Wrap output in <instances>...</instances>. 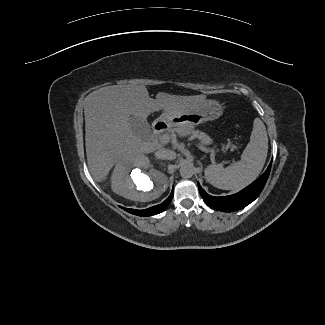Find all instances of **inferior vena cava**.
<instances>
[{
	"label": "inferior vena cava",
	"instance_id": "inferior-vena-cava-1",
	"mask_svg": "<svg viewBox=\"0 0 325 325\" xmlns=\"http://www.w3.org/2000/svg\"><path fill=\"white\" fill-rule=\"evenodd\" d=\"M156 157L164 160H174L176 158V153L173 150L166 148H160L155 153Z\"/></svg>",
	"mask_w": 325,
	"mask_h": 325
}]
</instances>
